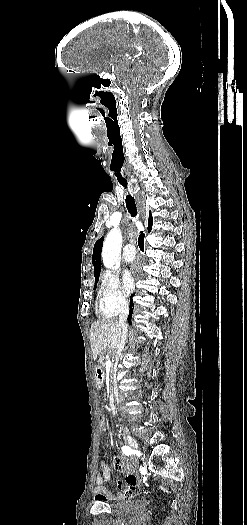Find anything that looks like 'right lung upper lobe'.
Listing matches in <instances>:
<instances>
[{
  "mask_svg": "<svg viewBox=\"0 0 247 525\" xmlns=\"http://www.w3.org/2000/svg\"><path fill=\"white\" fill-rule=\"evenodd\" d=\"M152 222H153V218L150 212L149 219H148V231L149 232L152 229ZM102 245H103V237L96 241L94 248H93L92 263L94 266V276H99L100 274Z\"/></svg>",
  "mask_w": 247,
  "mask_h": 525,
  "instance_id": "right-lung-upper-lobe-1",
  "label": "right lung upper lobe"
}]
</instances>
